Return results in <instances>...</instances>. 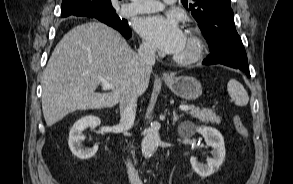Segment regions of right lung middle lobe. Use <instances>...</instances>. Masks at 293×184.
Masks as SVG:
<instances>
[{"label":"right lung middle lobe","instance_id":"right-lung-middle-lobe-1","mask_svg":"<svg viewBox=\"0 0 293 184\" xmlns=\"http://www.w3.org/2000/svg\"><path fill=\"white\" fill-rule=\"evenodd\" d=\"M79 4L83 10L91 11L95 14H101L103 17L108 19L120 20V18L116 15L114 9L108 11L105 6L99 2L84 0L80 1Z\"/></svg>","mask_w":293,"mask_h":184}]
</instances>
